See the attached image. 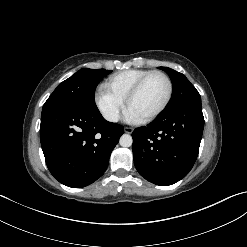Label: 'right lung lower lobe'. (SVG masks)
<instances>
[{"label": "right lung lower lobe", "mask_w": 247, "mask_h": 247, "mask_svg": "<svg viewBox=\"0 0 247 247\" xmlns=\"http://www.w3.org/2000/svg\"><path fill=\"white\" fill-rule=\"evenodd\" d=\"M123 131V126L106 121L98 109L71 104L44 107L40 140L49 171L66 186H88L106 171Z\"/></svg>", "instance_id": "98d812e1"}]
</instances>
